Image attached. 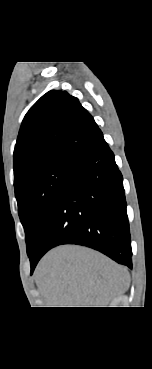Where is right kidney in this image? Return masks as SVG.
Here are the masks:
<instances>
[{
  "instance_id": "obj_1",
  "label": "right kidney",
  "mask_w": 152,
  "mask_h": 369,
  "mask_svg": "<svg viewBox=\"0 0 152 369\" xmlns=\"http://www.w3.org/2000/svg\"><path fill=\"white\" fill-rule=\"evenodd\" d=\"M121 302V297L115 298L112 302L110 307H119V304Z\"/></svg>"
}]
</instances>
